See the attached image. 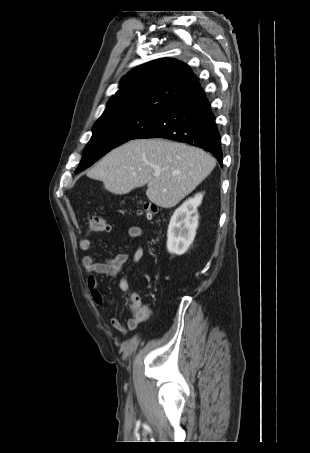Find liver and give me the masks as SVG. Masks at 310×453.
Returning <instances> with one entry per match:
<instances>
[{
	"label": "liver",
	"mask_w": 310,
	"mask_h": 453,
	"mask_svg": "<svg viewBox=\"0 0 310 453\" xmlns=\"http://www.w3.org/2000/svg\"><path fill=\"white\" fill-rule=\"evenodd\" d=\"M216 160L202 149L164 139L131 140L105 155L88 173L117 195L148 185V199L176 206L214 169ZM155 174H158L156 177Z\"/></svg>",
	"instance_id": "1"
}]
</instances>
